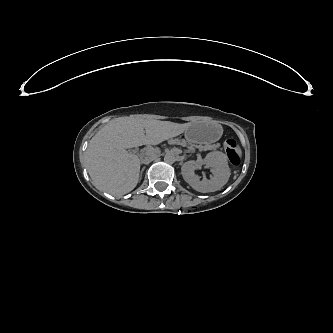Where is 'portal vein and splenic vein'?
Wrapping results in <instances>:
<instances>
[{
  "instance_id": "portal-vein-and-splenic-vein-1",
  "label": "portal vein and splenic vein",
  "mask_w": 333,
  "mask_h": 333,
  "mask_svg": "<svg viewBox=\"0 0 333 333\" xmlns=\"http://www.w3.org/2000/svg\"><path fill=\"white\" fill-rule=\"evenodd\" d=\"M156 152H157L156 150H148L146 151V154L149 155V154H154Z\"/></svg>"
}]
</instances>
